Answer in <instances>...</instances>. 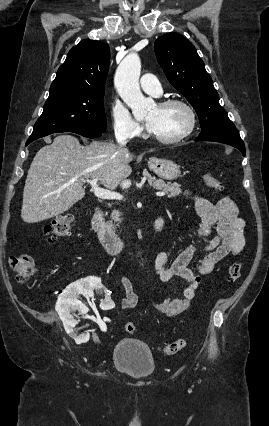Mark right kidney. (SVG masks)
Listing matches in <instances>:
<instances>
[{"label":"right kidney","mask_w":269,"mask_h":426,"mask_svg":"<svg viewBox=\"0 0 269 426\" xmlns=\"http://www.w3.org/2000/svg\"><path fill=\"white\" fill-rule=\"evenodd\" d=\"M107 293V286H102L101 280L95 277L81 279L75 283H71L68 288L63 289V293L56 303V311L63 322L65 331L77 342L83 343L89 340V334L77 336L73 330L77 322L72 312L79 310L81 313H86L88 311V308L78 300L79 296L83 295L89 298L93 294L106 295L104 301L99 304V309L101 311H114L115 304Z\"/></svg>","instance_id":"ca27d5eb"}]
</instances>
